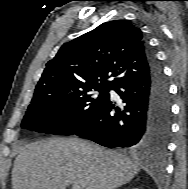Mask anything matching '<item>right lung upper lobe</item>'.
Instances as JSON below:
<instances>
[{"label":"right lung upper lobe","instance_id":"1","mask_svg":"<svg viewBox=\"0 0 188 189\" xmlns=\"http://www.w3.org/2000/svg\"><path fill=\"white\" fill-rule=\"evenodd\" d=\"M148 45L142 31L125 20L101 24L63 44L46 64L35 93L112 89L149 72ZM114 77L112 80L107 79Z\"/></svg>","mask_w":188,"mask_h":189}]
</instances>
